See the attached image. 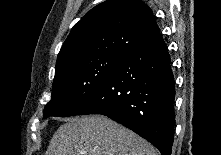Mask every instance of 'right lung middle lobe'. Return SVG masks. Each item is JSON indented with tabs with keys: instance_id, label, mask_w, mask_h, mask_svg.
I'll return each instance as SVG.
<instances>
[{
	"instance_id": "right-lung-middle-lobe-1",
	"label": "right lung middle lobe",
	"mask_w": 221,
	"mask_h": 155,
	"mask_svg": "<svg viewBox=\"0 0 221 155\" xmlns=\"http://www.w3.org/2000/svg\"><path fill=\"white\" fill-rule=\"evenodd\" d=\"M124 56L104 53L76 60L55 72L52 98L44 108V118L78 115Z\"/></svg>"
}]
</instances>
